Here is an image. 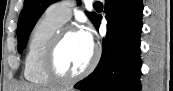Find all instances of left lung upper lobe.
<instances>
[{"instance_id":"obj_1","label":"left lung upper lobe","mask_w":173,"mask_h":91,"mask_svg":"<svg viewBox=\"0 0 173 91\" xmlns=\"http://www.w3.org/2000/svg\"><path fill=\"white\" fill-rule=\"evenodd\" d=\"M56 1L57 0H24V8L20 13L17 28L18 52H21L25 48L28 37L40 15L50 4ZM86 14L94 24L97 14L95 12H86Z\"/></svg>"}]
</instances>
